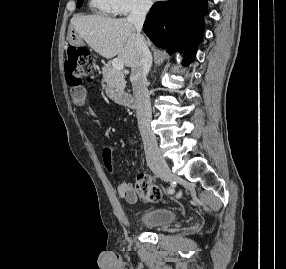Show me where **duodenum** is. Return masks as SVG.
I'll return each mask as SVG.
<instances>
[{
    "label": "duodenum",
    "instance_id": "obj_1",
    "mask_svg": "<svg viewBox=\"0 0 286 269\" xmlns=\"http://www.w3.org/2000/svg\"><path fill=\"white\" fill-rule=\"evenodd\" d=\"M121 104L127 108L134 109L136 108V103L133 97L124 96L121 98Z\"/></svg>",
    "mask_w": 286,
    "mask_h": 269
}]
</instances>
